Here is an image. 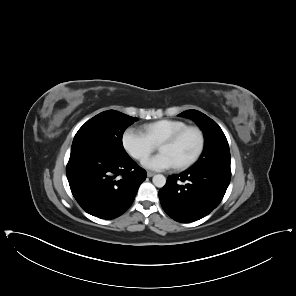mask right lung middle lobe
<instances>
[{
    "instance_id": "1",
    "label": "right lung middle lobe",
    "mask_w": 296,
    "mask_h": 296,
    "mask_svg": "<svg viewBox=\"0 0 296 296\" xmlns=\"http://www.w3.org/2000/svg\"><path fill=\"white\" fill-rule=\"evenodd\" d=\"M138 118L115 110L104 111L87 121L76 133L71 153L97 151L115 158L129 156L124 150L122 136Z\"/></svg>"
}]
</instances>
